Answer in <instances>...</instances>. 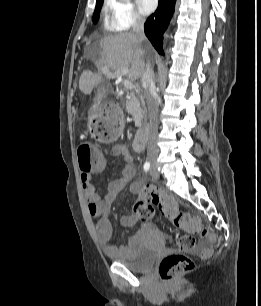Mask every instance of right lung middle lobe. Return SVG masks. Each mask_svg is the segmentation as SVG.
Returning <instances> with one entry per match:
<instances>
[{"instance_id": "right-lung-middle-lobe-1", "label": "right lung middle lobe", "mask_w": 261, "mask_h": 306, "mask_svg": "<svg viewBox=\"0 0 261 306\" xmlns=\"http://www.w3.org/2000/svg\"><path fill=\"white\" fill-rule=\"evenodd\" d=\"M102 3H103V0H98L96 2L95 11H94L93 18H92V21L94 23H96L98 21V19H99V13H100V9H101Z\"/></svg>"}]
</instances>
